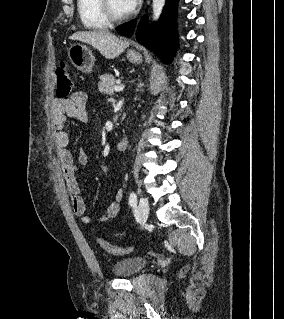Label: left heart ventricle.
<instances>
[{
    "instance_id": "left-heart-ventricle-1",
    "label": "left heart ventricle",
    "mask_w": 284,
    "mask_h": 319,
    "mask_svg": "<svg viewBox=\"0 0 284 319\" xmlns=\"http://www.w3.org/2000/svg\"><path fill=\"white\" fill-rule=\"evenodd\" d=\"M113 11L118 15H124L128 13L123 0H110Z\"/></svg>"
}]
</instances>
